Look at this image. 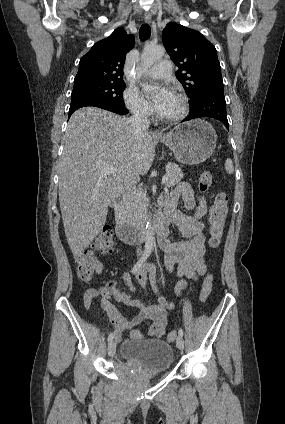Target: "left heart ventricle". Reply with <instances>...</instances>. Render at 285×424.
<instances>
[{
  "instance_id": "b2bd125f",
  "label": "left heart ventricle",
  "mask_w": 285,
  "mask_h": 424,
  "mask_svg": "<svg viewBox=\"0 0 285 424\" xmlns=\"http://www.w3.org/2000/svg\"><path fill=\"white\" fill-rule=\"evenodd\" d=\"M182 108L181 100L173 94L172 98L164 108V110L159 114L163 117H171L177 115Z\"/></svg>"
}]
</instances>
